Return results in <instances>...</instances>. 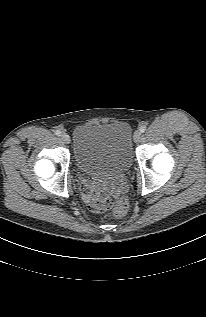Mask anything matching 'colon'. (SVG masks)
I'll use <instances>...</instances> for the list:
<instances>
[{
	"mask_svg": "<svg viewBox=\"0 0 206 317\" xmlns=\"http://www.w3.org/2000/svg\"><path fill=\"white\" fill-rule=\"evenodd\" d=\"M84 195L88 206L96 213L112 210L115 217L121 218L128 211V201L124 196H113L97 187L85 189Z\"/></svg>",
	"mask_w": 206,
	"mask_h": 317,
	"instance_id": "colon-1",
	"label": "colon"
}]
</instances>
